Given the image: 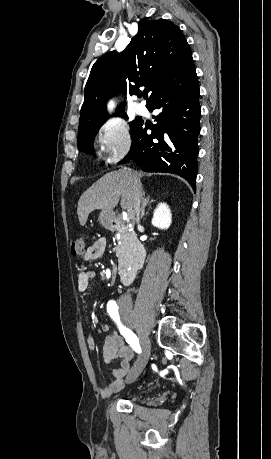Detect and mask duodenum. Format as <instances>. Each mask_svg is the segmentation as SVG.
Returning a JSON list of instances; mask_svg holds the SVG:
<instances>
[{"label":"duodenum","mask_w":271,"mask_h":459,"mask_svg":"<svg viewBox=\"0 0 271 459\" xmlns=\"http://www.w3.org/2000/svg\"><path fill=\"white\" fill-rule=\"evenodd\" d=\"M110 224L114 229L132 236L134 256L131 267L128 270L122 271L120 274L121 283L128 285L133 281L136 272L143 267L146 260L147 250L145 245L136 237L134 231L125 225L119 218L112 217L110 219Z\"/></svg>","instance_id":"duodenum-1"}]
</instances>
